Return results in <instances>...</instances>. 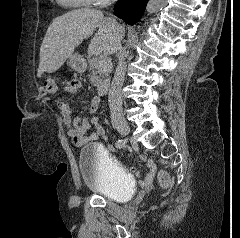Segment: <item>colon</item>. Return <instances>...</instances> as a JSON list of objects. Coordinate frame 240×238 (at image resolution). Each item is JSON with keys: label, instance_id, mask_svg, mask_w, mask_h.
<instances>
[{"label": "colon", "instance_id": "colon-1", "mask_svg": "<svg viewBox=\"0 0 240 238\" xmlns=\"http://www.w3.org/2000/svg\"><path fill=\"white\" fill-rule=\"evenodd\" d=\"M43 88L49 94H54L57 92V84L52 78H45L43 81ZM159 181L162 185L167 186L170 182L169 177L166 173H159Z\"/></svg>", "mask_w": 240, "mask_h": 238}]
</instances>
